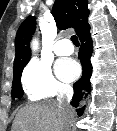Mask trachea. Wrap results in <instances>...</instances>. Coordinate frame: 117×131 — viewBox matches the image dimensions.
<instances>
[{
  "label": "trachea",
  "instance_id": "obj_1",
  "mask_svg": "<svg viewBox=\"0 0 117 131\" xmlns=\"http://www.w3.org/2000/svg\"><path fill=\"white\" fill-rule=\"evenodd\" d=\"M71 41L73 42L74 45L79 46V40L76 35L71 36Z\"/></svg>",
  "mask_w": 117,
  "mask_h": 131
}]
</instances>
